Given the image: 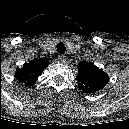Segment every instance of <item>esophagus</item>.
Wrapping results in <instances>:
<instances>
[{
    "mask_svg": "<svg viewBox=\"0 0 129 129\" xmlns=\"http://www.w3.org/2000/svg\"><path fill=\"white\" fill-rule=\"evenodd\" d=\"M58 60L62 63H65L66 62V56L65 55H59L58 56Z\"/></svg>",
    "mask_w": 129,
    "mask_h": 129,
    "instance_id": "34e87169",
    "label": "esophagus"
}]
</instances>
